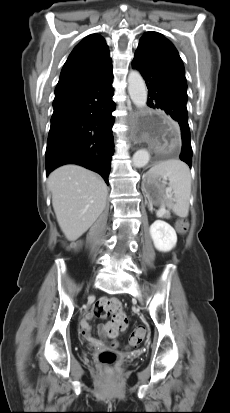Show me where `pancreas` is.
Segmentation results:
<instances>
[{
	"instance_id": "cf45deb5",
	"label": "pancreas",
	"mask_w": 230,
	"mask_h": 413,
	"mask_svg": "<svg viewBox=\"0 0 230 413\" xmlns=\"http://www.w3.org/2000/svg\"><path fill=\"white\" fill-rule=\"evenodd\" d=\"M166 218H169L170 217V215L168 214V213H165V215H164Z\"/></svg>"
}]
</instances>
